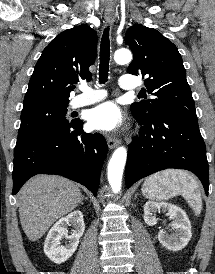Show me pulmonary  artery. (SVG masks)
<instances>
[{"mask_svg": "<svg viewBox=\"0 0 215 274\" xmlns=\"http://www.w3.org/2000/svg\"><path fill=\"white\" fill-rule=\"evenodd\" d=\"M119 85L124 90H134L137 87L135 80L129 75H123L119 79ZM81 94L74 97L71 101V108H79L94 104L106 97V92L94 89L87 85L80 86Z\"/></svg>", "mask_w": 215, "mask_h": 274, "instance_id": "obj_1", "label": "pulmonary artery"}]
</instances>
